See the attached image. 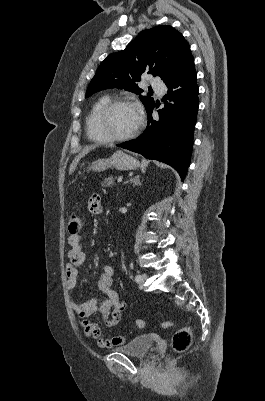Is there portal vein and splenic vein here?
<instances>
[{"label": "portal vein and splenic vein", "mask_w": 265, "mask_h": 401, "mask_svg": "<svg viewBox=\"0 0 265 401\" xmlns=\"http://www.w3.org/2000/svg\"><path fill=\"white\" fill-rule=\"evenodd\" d=\"M118 182H122V176L118 178Z\"/></svg>", "instance_id": "portal-vein-and-splenic-vein-1"}]
</instances>
